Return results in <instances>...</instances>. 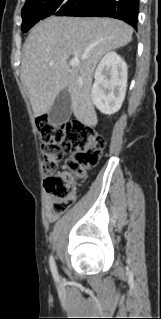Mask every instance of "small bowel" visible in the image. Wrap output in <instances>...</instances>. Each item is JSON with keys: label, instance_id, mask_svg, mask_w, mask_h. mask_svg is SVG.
<instances>
[{"label": "small bowel", "instance_id": "small-bowel-1", "mask_svg": "<svg viewBox=\"0 0 161 319\" xmlns=\"http://www.w3.org/2000/svg\"><path fill=\"white\" fill-rule=\"evenodd\" d=\"M52 197L51 196H47L45 198V213H46V218L50 223H53L57 220V215L52 213L51 211V204H52Z\"/></svg>", "mask_w": 161, "mask_h": 319}]
</instances>
